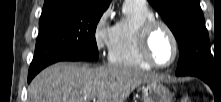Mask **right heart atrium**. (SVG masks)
<instances>
[{"label":"right heart atrium","instance_id":"right-heart-atrium-1","mask_svg":"<svg viewBox=\"0 0 221 102\" xmlns=\"http://www.w3.org/2000/svg\"><path fill=\"white\" fill-rule=\"evenodd\" d=\"M114 26L111 23V9H105L97 18L93 28V41L96 49L105 54L110 51Z\"/></svg>","mask_w":221,"mask_h":102}]
</instances>
